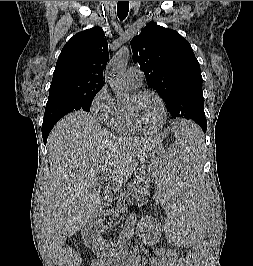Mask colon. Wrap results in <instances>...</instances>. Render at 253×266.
Returning a JSON list of instances; mask_svg holds the SVG:
<instances>
[{"label": "colon", "instance_id": "obj_1", "mask_svg": "<svg viewBox=\"0 0 253 266\" xmlns=\"http://www.w3.org/2000/svg\"><path fill=\"white\" fill-rule=\"evenodd\" d=\"M206 250V242H202V248H192L182 261V266H197ZM59 266H79L80 256L75 248L65 249L59 259Z\"/></svg>", "mask_w": 253, "mask_h": 266}]
</instances>
